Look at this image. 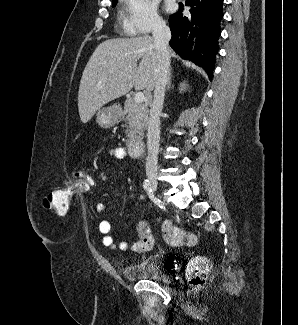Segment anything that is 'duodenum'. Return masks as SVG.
I'll use <instances>...</instances> for the list:
<instances>
[{"label":"duodenum","mask_w":298,"mask_h":325,"mask_svg":"<svg viewBox=\"0 0 298 325\" xmlns=\"http://www.w3.org/2000/svg\"><path fill=\"white\" fill-rule=\"evenodd\" d=\"M128 150L131 156L139 157L144 153L145 144L141 140H134L129 143Z\"/></svg>","instance_id":"obj_1"}]
</instances>
